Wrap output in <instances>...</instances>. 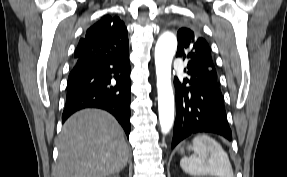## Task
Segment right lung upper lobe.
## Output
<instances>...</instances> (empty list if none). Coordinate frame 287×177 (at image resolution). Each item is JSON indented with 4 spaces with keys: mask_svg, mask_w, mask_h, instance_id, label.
<instances>
[{
    "mask_svg": "<svg viewBox=\"0 0 287 177\" xmlns=\"http://www.w3.org/2000/svg\"><path fill=\"white\" fill-rule=\"evenodd\" d=\"M126 34L127 29L124 23L118 17L105 15L93 26H91L87 30L85 36L80 39L75 51V59L77 60L86 54V40L114 38Z\"/></svg>",
    "mask_w": 287,
    "mask_h": 177,
    "instance_id": "cb5924a9",
    "label": "right lung upper lobe"
}]
</instances>
